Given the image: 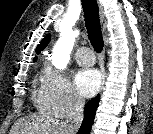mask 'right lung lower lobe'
<instances>
[{"mask_svg":"<svg viewBox=\"0 0 153 134\" xmlns=\"http://www.w3.org/2000/svg\"><path fill=\"white\" fill-rule=\"evenodd\" d=\"M100 96L97 95L91 99L84 108V119L78 131V134H89L94 122L95 112L98 107Z\"/></svg>","mask_w":153,"mask_h":134,"instance_id":"obj_1","label":"right lung lower lobe"}]
</instances>
